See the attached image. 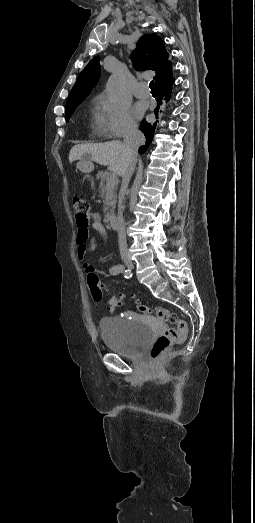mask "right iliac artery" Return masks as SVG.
I'll return each mask as SVG.
<instances>
[{
	"mask_svg": "<svg viewBox=\"0 0 255 523\" xmlns=\"http://www.w3.org/2000/svg\"><path fill=\"white\" fill-rule=\"evenodd\" d=\"M124 277L125 278H131L132 277V272L129 269L125 270Z\"/></svg>",
	"mask_w": 255,
	"mask_h": 523,
	"instance_id": "obj_1",
	"label": "right iliac artery"
}]
</instances>
